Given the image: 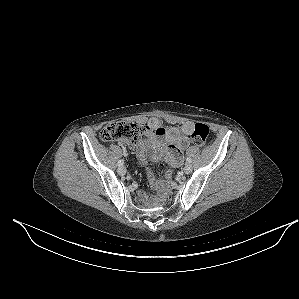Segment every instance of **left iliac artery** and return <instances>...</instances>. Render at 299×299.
<instances>
[{"label":"left iliac artery","mask_w":299,"mask_h":299,"mask_svg":"<svg viewBox=\"0 0 299 299\" xmlns=\"http://www.w3.org/2000/svg\"><path fill=\"white\" fill-rule=\"evenodd\" d=\"M186 161H187L188 163H191V162H192V160H191L190 158H187Z\"/></svg>","instance_id":"44dca946"}]
</instances>
